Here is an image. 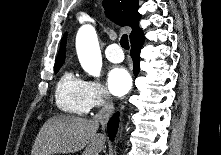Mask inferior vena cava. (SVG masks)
Returning a JSON list of instances; mask_svg holds the SVG:
<instances>
[{"label":"inferior vena cava","mask_w":221,"mask_h":155,"mask_svg":"<svg viewBox=\"0 0 221 155\" xmlns=\"http://www.w3.org/2000/svg\"><path fill=\"white\" fill-rule=\"evenodd\" d=\"M113 112L114 104L108 100L103 108L94 116L93 120L101 123L102 127L104 128Z\"/></svg>","instance_id":"obj_1"}]
</instances>
